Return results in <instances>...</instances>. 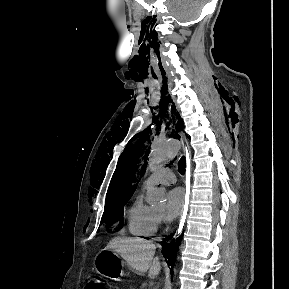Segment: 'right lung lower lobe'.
Instances as JSON below:
<instances>
[{
  "mask_svg": "<svg viewBox=\"0 0 289 289\" xmlns=\"http://www.w3.org/2000/svg\"><path fill=\"white\" fill-rule=\"evenodd\" d=\"M174 234L170 235L168 238V243H166L163 246V250L165 251V257L168 259L167 263L168 265L171 266V272L173 270V266L175 263V257H176V252L178 250V245H180V238L177 239L175 242L174 239H172Z\"/></svg>",
  "mask_w": 289,
  "mask_h": 289,
  "instance_id": "98d812e1",
  "label": "right lung lower lobe"
}]
</instances>
